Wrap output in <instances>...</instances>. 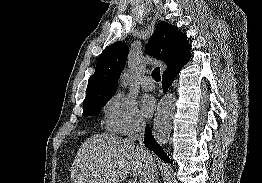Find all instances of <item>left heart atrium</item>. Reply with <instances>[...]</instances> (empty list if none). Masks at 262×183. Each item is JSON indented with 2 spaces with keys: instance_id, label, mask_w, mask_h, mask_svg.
<instances>
[{
  "instance_id": "39dd6f15",
  "label": "left heart atrium",
  "mask_w": 262,
  "mask_h": 183,
  "mask_svg": "<svg viewBox=\"0 0 262 183\" xmlns=\"http://www.w3.org/2000/svg\"><path fill=\"white\" fill-rule=\"evenodd\" d=\"M142 112L145 116H150L155 110V100L151 96H145L141 102Z\"/></svg>"
}]
</instances>
